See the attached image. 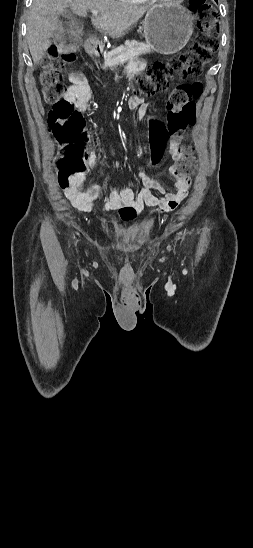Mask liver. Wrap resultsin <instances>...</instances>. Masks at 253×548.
<instances>
[{"label":"liver","instance_id":"liver-1","mask_svg":"<svg viewBox=\"0 0 253 548\" xmlns=\"http://www.w3.org/2000/svg\"><path fill=\"white\" fill-rule=\"evenodd\" d=\"M65 8L80 17H86L88 10H97L99 15L91 18L92 25L113 38L122 37L148 10L115 0H33L26 39L34 64L43 59L54 33L63 31L59 15Z\"/></svg>","mask_w":253,"mask_h":548}]
</instances>
